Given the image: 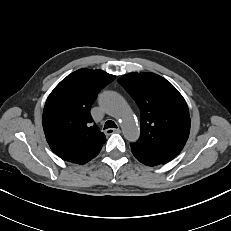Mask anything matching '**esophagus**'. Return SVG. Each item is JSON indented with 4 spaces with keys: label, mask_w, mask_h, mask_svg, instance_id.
<instances>
[{
    "label": "esophagus",
    "mask_w": 231,
    "mask_h": 231,
    "mask_svg": "<svg viewBox=\"0 0 231 231\" xmlns=\"http://www.w3.org/2000/svg\"><path fill=\"white\" fill-rule=\"evenodd\" d=\"M120 129L119 128H109V129H107L106 131H105V133L107 134V135H110V134H112V133H120Z\"/></svg>",
    "instance_id": "1"
}]
</instances>
